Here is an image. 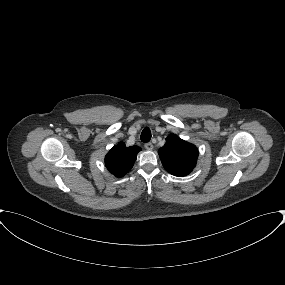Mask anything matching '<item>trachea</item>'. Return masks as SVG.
<instances>
[{
	"instance_id": "1",
	"label": "trachea",
	"mask_w": 285,
	"mask_h": 285,
	"mask_svg": "<svg viewBox=\"0 0 285 285\" xmlns=\"http://www.w3.org/2000/svg\"><path fill=\"white\" fill-rule=\"evenodd\" d=\"M151 139V131L148 127H145L141 133V141L149 142Z\"/></svg>"
}]
</instances>
